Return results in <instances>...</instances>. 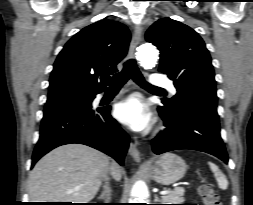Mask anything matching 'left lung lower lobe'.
Wrapping results in <instances>:
<instances>
[{"label": "left lung lower lobe", "mask_w": 253, "mask_h": 205, "mask_svg": "<svg viewBox=\"0 0 253 205\" xmlns=\"http://www.w3.org/2000/svg\"><path fill=\"white\" fill-rule=\"evenodd\" d=\"M158 111L164 121V129L152 140L155 154L191 149L209 153L225 163L228 162L220 136L216 106L196 103L171 111L163 103Z\"/></svg>", "instance_id": "0a47b994"}]
</instances>
